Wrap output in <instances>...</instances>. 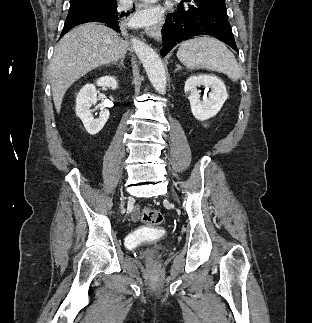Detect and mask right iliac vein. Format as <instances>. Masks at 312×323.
Instances as JSON below:
<instances>
[{"instance_id":"63e3f726","label":"right iliac vein","mask_w":312,"mask_h":323,"mask_svg":"<svg viewBox=\"0 0 312 323\" xmlns=\"http://www.w3.org/2000/svg\"><path fill=\"white\" fill-rule=\"evenodd\" d=\"M120 208L123 209V204H121Z\"/></svg>"}]
</instances>
